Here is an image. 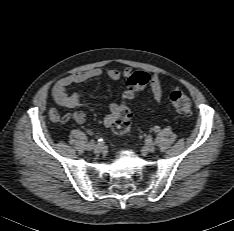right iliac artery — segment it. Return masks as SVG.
Segmentation results:
<instances>
[{
	"mask_svg": "<svg viewBox=\"0 0 234 231\" xmlns=\"http://www.w3.org/2000/svg\"><path fill=\"white\" fill-rule=\"evenodd\" d=\"M94 145H95V140H91L87 146L92 148L94 147Z\"/></svg>",
	"mask_w": 234,
	"mask_h": 231,
	"instance_id": "obj_1",
	"label": "right iliac artery"
}]
</instances>
